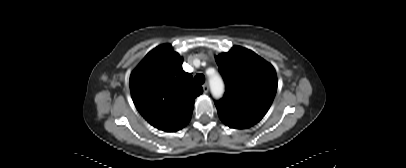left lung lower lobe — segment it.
<instances>
[{"instance_id": "left-lung-lower-lobe-1", "label": "left lung lower lobe", "mask_w": 406, "mask_h": 168, "mask_svg": "<svg viewBox=\"0 0 406 168\" xmlns=\"http://www.w3.org/2000/svg\"><path fill=\"white\" fill-rule=\"evenodd\" d=\"M220 119L229 127L236 129H244L253 126L254 124L245 120L219 115Z\"/></svg>"}]
</instances>
